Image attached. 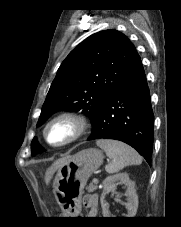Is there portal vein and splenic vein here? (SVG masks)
Returning <instances> with one entry per match:
<instances>
[{
    "instance_id": "portal-vein-and-splenic-vein-1",
    "label": "portal vein and splenic vein",
    "mask_w": 181,
    "mask_h": 227,
    "mask_svg": "<svg viewBox=\"0 0 181 227\" xmlns=\"http://www.w3.org/2000/svg\"><path fill=\"white\" fill-rule=\"evenodd\" d=\"M92 182H93L94 184H98V179H97V178H94Z\"/></svg>"
}]
</instances>
